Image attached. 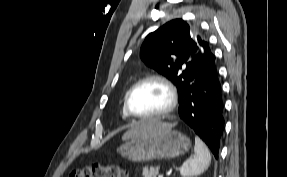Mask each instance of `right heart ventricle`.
<instances>
[{
	"label": "right heart ventricle",
	"instance_id": "right-heart-ventricle-1",
	"mask_svg": "<svg viewBox=\"0 0 287 177\" xmlns=\"http://www.w3.org/2000/svg\"><path fill=\"white\" fill-rule=\"evenodd\" d=\"M127 92H128V90H127L126 93H125V97H126ZM125 97H124V99H125ZM122 113H123V116H124V117H127V116H128L127 113H126L125 105H124V104H123V108H122Z\"/></svg>",
	"mask_w": 287,
	"mask_h": 177
}]
</instances>
